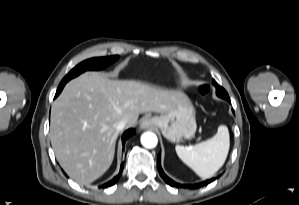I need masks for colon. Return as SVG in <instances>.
<instances>
[{
	"instance_id": "5ec220e1",
	"label": "colon",
	"mask_w": 299,
	"mask_h": 205,
	"mask_svg": "<svg viewBox=\"0 0 299 205\" xmlns=\"http://www.w3.org/2000/svg\"><path fill=\"white\" fill-rule=\"evenodd\" d=\"M209 91H210V88L206 84H203L199 87V92L204 96H206L209 93Z\"/></svg>"
}]
</instances>
